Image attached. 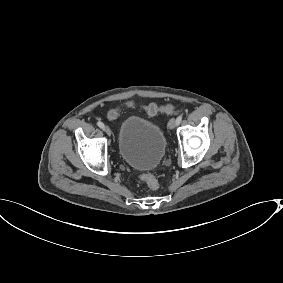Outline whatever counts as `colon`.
I'll return each instance as SVG.
<instances>
[{
  "label": "colon",
  "mask_w": 283,
  "mask_h": 283,
  "mask_svg": "<svg viewBox=\"0 0 283 283\" xmlns=\"http://www.w3.org/2000/svg\"><path fill=\"white\" fill-rule=\"evenodd\" d=\"M134 106H135L134 102H127L123 106H120V107H117V108L111 110L109 112V118L114 119L123 107L132 108ZM143 109L151 115L157 114L159 112L167 113V114H170V113L173 112V106L169 105V104L164 105V106H157L156 104H149L147 106H143ZM140 178L143 182H145L147 184V186L150 189H152V190L158 189L159 183H158L157 178L154 176V174L147 172V173L142 174L140 176Z\"/></svg>",
  "instance_id": "obj_1"
}]
</instances>
